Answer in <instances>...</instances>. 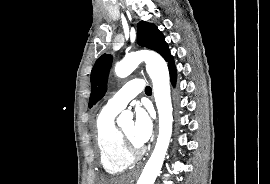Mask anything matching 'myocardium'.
<instances>
[{
    "mask_svg": "<svg viewBox=\"0 0 270 184\" xmlns=\"http://www.w3.org/2000/svg\"><path fill=\"white\" fill-rule=\"evenodd\" d=\"M119 134L121 137L123 149L128 157L137 159L144 154L145 148L141 145L135 144L122 129H119Z\"/></svg>",
    "mask_w": 270,
    "mask_h": 184,
    "instance_id": "f54148a6",
    "label": "myocardium"
}]
</instances>
